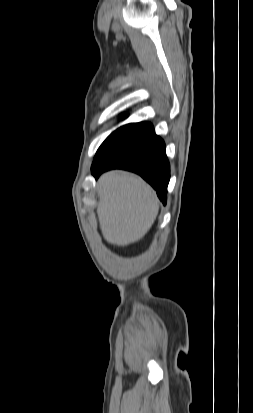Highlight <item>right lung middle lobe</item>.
I'll use <instances>...</instances> for the list:
<instances>
[{
	"instance_id": "right-lung-middle-lobe-1",
	"label": "right lung middle lobe",
	"mask_w": 253,
	"mask_h": 413,
	"mask_svg": "<svg viewBox=\"0 0 253 413\" xmlns=\"http://www.w3.org/2000/svg\"><path fill=\"white\" fill-rule=\"evenodd\" d=\"M126 114L122 115V118ZM154 131L153 126L147 122L131 123L124 125L112 132L97 150L92 167L106 160L112 154L146 137Z\"/></svg>"
}]
</instances>
